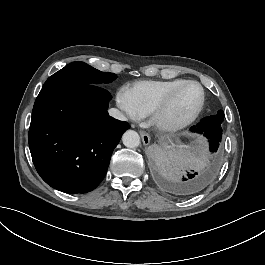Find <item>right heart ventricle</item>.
<instances>
[{"label": "right heart ventricle", "mask_w": 265, "mask_h": 265, "mask_svg": "<svg viewBox=\"0 0 265 265\" xmlns=\"http://www.w3.org/2000/svg\"><path fill=\"white\" fill-rule=\"evenodd\" d=\"M184 78L166 80L137 81L128 88L133 94V101L141 117L150 115L158 104L164 101Z\"/></svg>", "instance_id": "e07e8e85"}]
</instances>
